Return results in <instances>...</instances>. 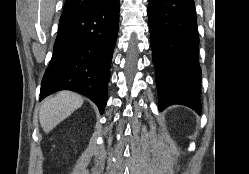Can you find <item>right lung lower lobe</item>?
Wrapping results in <instances>:
<instances>
[{
    "label": "right lung lower lobe",
    "mask_w": 249,
    "mask_h": 174,
    "mask_svg": "<svg viewBox=\"0 0 249 174\" xmlns=\"http://www.w3.org/2000/svg\"><path fill=\"white\" fill-rule=\"evenodd\" d=\"M118 28L119 0L61 16L40 100L59 90H72L90 98L103 114Z\"/></svg>",
    "instance_id": "98d812e1"
}]
</instances>
